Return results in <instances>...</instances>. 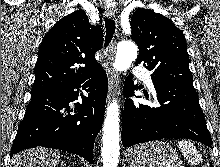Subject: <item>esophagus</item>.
I'll return each mask as SVG.
<instances>
[{
  "label": "esophagus",
  "instance_id": "1",
  "mask_svg": "<svg viewBox=\"0 0 220 167\" xmlns=\"http://www.w3.org/2000/svg\"><path fill=\"white\" fill-rule=\"evenodd\" d=\"M117 14V9L114 6H107L105 9V16L111 19H114ZM116 51V42L113 41L110 47L109 54L107 55V59L104 63V67L108 76V83H109V97L115 87H117V82H118V74L113 68V60H114V55Z\"/></svg>",
  "mask_w": 220,
  "mask_h": 167
}]
</instances>
